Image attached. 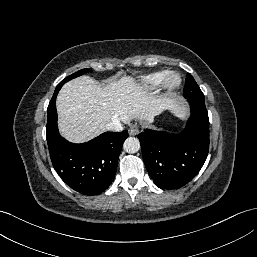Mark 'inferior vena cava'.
<instances>
[{
	"label": "inferior vena cava",
	"mask_w": 257,
	"mask_h": 257,
	"mask_svg": "<svg viewBox=\"0 0 257 257\" xmlns=\"http://www.w3.org/2000/svg\"><path fill=\"white\" fill-rule=\"evenodd\" d=\"M105 129L109 131H122L123 127L117 118H113L109 123L105 125Z\"/></svg>",
	"instance_id": "inferior-vena-cava-1"
}]
</instances>
